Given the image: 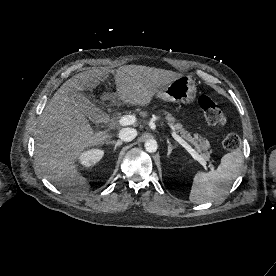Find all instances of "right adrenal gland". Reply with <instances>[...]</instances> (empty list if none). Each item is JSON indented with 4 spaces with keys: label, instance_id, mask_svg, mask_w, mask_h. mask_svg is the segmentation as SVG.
Instances as JSON below:
<instances>
[{
    "label": "right adrenal gland",
    "instance_id": "obj_1",
    "mask_svg": "<svg viewBox=\"0 0 276 276\" xmlns=\"http://www.w3.org/2000/svg\"><path fill=\"white\" fill-rule=\"evenodd\" d=\"M123 144L122 141H109L107 142V145H114V151H116L117 147L121 146Z\"/></svg>",
    "mask_w": 276,
    "mask_h": 276
}]
</instances>
